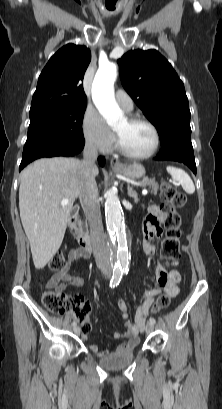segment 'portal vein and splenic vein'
Wrapping results in <instances>:
<instances>
[{
  "label": "portal vein and splenic vein",
  "mask_w": 222,
  "mask_h": 409,
  "mask_svg": "<svg viewBox=\"0 0 222 409\" xmlns=\"http://www.w3.org/2000/svg\"><path fill=\"white\" fill-rule=\"evenodd\" d=\"M142 194H143V195H146V194H147V190L144 189V190L142 191ZM68 202H69V200H68L67 198H64V199L61 201V204H62V205H66V204H68Z\"/></svg>",
  "instance_id": "portal-vein-and-splenic-vein-1"
}]
</instances>
